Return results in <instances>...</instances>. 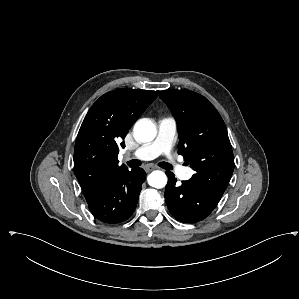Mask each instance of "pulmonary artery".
<instances>
[{"instance_id": "e3ab8cb5", "label": "pulmonary artery", "mask_w": 299, "mask_h": 299, "mask_svg": "<svg viewBox=\"0 0 299 299\" xmlns=\"http://www.w3.org/2000/svg\"><path fill=\"white\" fill-rule=\"evenodd\" d=\"M177 124L174 118L164 117L159 120L158 133L154 141L147 143L132 153V157L139 160L154 159L161 154L170 155V151L176 136ZM177 175L188 180L193 174L191 168L182 167L175 160H171Z\"/></svg>"}]
</instances>
